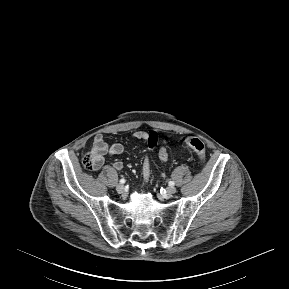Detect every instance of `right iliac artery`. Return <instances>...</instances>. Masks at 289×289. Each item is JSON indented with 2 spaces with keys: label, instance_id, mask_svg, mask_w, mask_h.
I'll use <instances>...</instances> for the list:
<instances>
[{
  "label": "right iliac artery",
  "instance_id": "obj_1",
  "mask_svg": "<svg viewBox=\"0 0 289 289\" xmlns=\"http://www.w3.org/2000/svg\"><path fill=\"white\" fill-rule=\"evenodd\" d=\"M120 183L124 184L125 183V179L124 178L120 179Z\"/></svg>",
  "mask_w": 289,
  "mask_h": 289
}]
</instances>
